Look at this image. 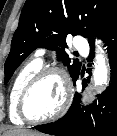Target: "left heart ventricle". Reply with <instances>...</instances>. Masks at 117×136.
Listing matches in <instances>:
<instances>
[{
  "mask_svg": "<svg viewBox=\"0 0 117 136\" xmlns=\"http://www.w3.org/2000/svg\"><path fill=\"white\" fill-rule=\"evenodd\" d=\"M63 101V84L57 75H48L39 81L26 101V113L31 118L54 114Z\"/></svg>",
  "mask_w": 117,
  "mask_h": 136,
  "instance_id": "obj_1",
  "label": "left heart ventricle"
}]
</instances>
